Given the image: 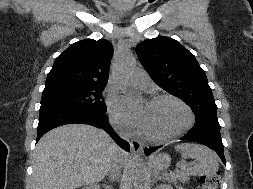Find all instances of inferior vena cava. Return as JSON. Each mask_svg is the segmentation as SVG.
<instances>
[{
  "label": "inferior vena cava",
  "instance_id": "1",
  "mask_svg": "<svg viewBox=\"0 0 253 189\" xmlns=\"http://www.w3.org/2000/svg\"><path fill=\"white\" fill-rule=\"evenodd\" d=\"M118 133L122 138H127L128 135L125 134L121 129H118ZM127 151L125 149H116L114 151V162L109 170V176L114 181L121 175V168L126 163Z\"/></svg>",
  "mask_w": 253,
  "mask_h": 189
}]
</instances>
